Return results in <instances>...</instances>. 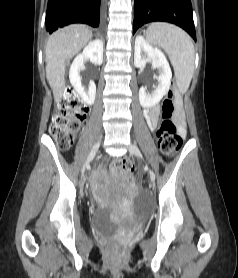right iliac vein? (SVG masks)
<instances>
[{"mask_svg": "<svg viewBox=\"0 0 238 278\" xmlns=\"http://www.w3.org/2000/svg\"><path fill=\"white\" fill-rule=\"evenodd\" d=\"M100 144H101V141L99 140L91 148V150L87 156V159L84 163V166H82V168H81V174H85V171H86L85 167H87L89 165L90 161L95 157V155L100 147Z\"/></svg>", "mask_w": 238, "mask_h": 278, "instance_id": "1", "label": "right iliac vein"}]
</instances>
